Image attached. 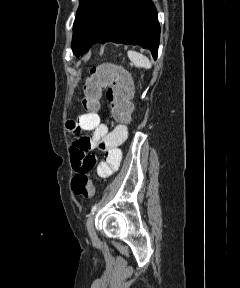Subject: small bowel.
Returning <instances> with one entry per match:
<instances>
[{
	"instance_id": "obj_1",
	"label": "small bowel",
	"mask_w": 240,
	"mask_h": 288,
	"mask_svg": "<svg viewBox=\"0 0 240 288\" xmlns=\"http://www.w3.org/2000/svg\"><path fill=\"white\" fill-rule=\"evenodd\" d=\"M66 128L72 136L70 145L72 168L77 174H87L94 166L96 158L89 152L100 149L105 157L96 166L99 177L106 178L116 172L122 160L119 146L127 137V127L118 125L109 131L108 125L101 121L98 113H85L76 120H69ZM82 131H90L88 136L80 135Z\"/></svg>"
}]
</instances>
